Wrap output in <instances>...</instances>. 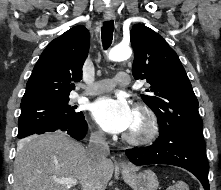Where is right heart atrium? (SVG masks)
I'll return each instance as SVG.
<instances>
[{
  "instance_id": "right-heart-atrium-1",
  "label": "right heart atrium",
  "mask_w": 221,
  "mask_h": 190,
  "mask_svg": "<svg viewBox=\"0 0 221 190\" xmlns=\"http://www.w3.org/2000/svg\"><path fill=\"white\" fill-rule=\"evenodd\" d=\"M94 135H95L96 137H101V136H102V132H101L100 130H95V131H94Z\"/></svg>"
}]
</instances>
